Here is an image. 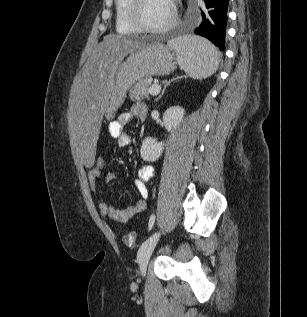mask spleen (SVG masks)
Returning <instances> with one entry per match:
<instances>
[{
  "instance_id": "obj_1",
  "label": "spleen",
  "mask_w": 307,
  "mask_h": 317,
  "mask_svg": "<svg viewBox=\"0 0 307 317\" xmlns=\"http://www.w3.org/2000/svg\"><path fill=\"white\" fill-rule=\"evenodd\" d=\"M168 46L175 50L181 69L193 79H205L217 70L218 51L204 38L189 35L168 42Z\"/></svg>"
}]
</instances>
